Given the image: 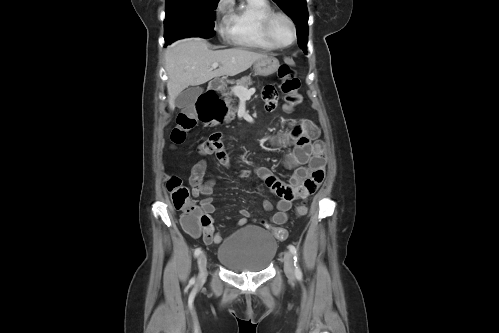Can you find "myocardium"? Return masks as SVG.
Here are the masks:
<instances>
[{
    "label": "myocardium",
    "mask_w": 499,
    "mask_h": 333,
    "mask_svg": "<svg viewBox=\"0 0 499 333\" xmlns=\"http://www.w3.org/2000/svg\"><path fill=\"white\" fill-rule=\"evenodd\" d=\"M277 18L285 19L291 27V40L287 44L279 43L273 34L272 26H273V22ZM263 31H264V34L266 35V37L268 38V40L276 48H287V47L291 46L296 41V38H297V29H296L295 22L293 21L291 16H289L287 13L282 12V11H272L264 18Z\"/></svg>",
    "instance_id": "f54148a6"
}]
</instances>
